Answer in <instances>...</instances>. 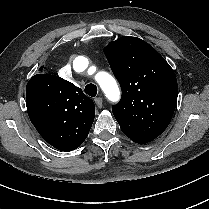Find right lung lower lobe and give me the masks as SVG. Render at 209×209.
Segmentation results:
<instances>
[{"mask_svg":"<svg viewBox=\"0 0 209 209\" xmlns=\"http://www.w3.org/2000/svg\"><path fill=\"white\" fill-rule=\"evenodd\" d=\"M50 144V143H49ZM50 145H52L53 147H55L58 150H62V149H66L68 147L67 144L65 143H56V142H52ZM63 151V150H62Z\"/></svg>","mask_w":209,"mask_h":209,"instance_id":"right-lung-lower-lobe-1","label":"right lung lower lobe"}]
</instances>
